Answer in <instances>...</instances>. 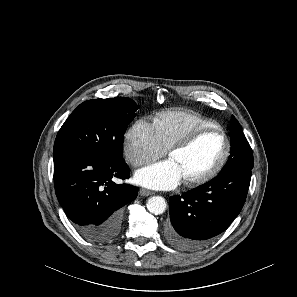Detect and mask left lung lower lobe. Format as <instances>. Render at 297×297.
Wrapping results in <instances>:
<instances>
[{"label": "left lung lower lobe", "mask_w": 297, "mask_h": 297, "mask_svg": "<svg viewBox=\"0 0 297 297\" xmlns=\"http://www.w3.org/2000/svg\"><path fill=\"white\" fill-rule=\"evenodd\" d=\"M251 171L225 172L204 185L170 198L167 241L181 250H197L225 231L247 197Z\"/></svg>", "instance_id": "1"}]
</instances>
